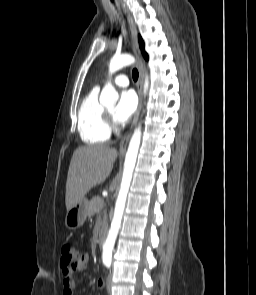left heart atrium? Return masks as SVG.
<instances>
[{"mask_svg":"<svg viewBox=\"0 0 256 295\" xmlns=\"http://www.w3.org/2000/svg\"><path fill=\"white\" fill-rule=\"evenodd\" d=\"M137 107V99L133 91L121 93L118 105L115 109L114 117L120 124L127 123L133 116Z\"/></svg>","mask_w":256,"mask_h":295,"instance_id":"obj_1","label":"left heart atrium"}]
</instances>
